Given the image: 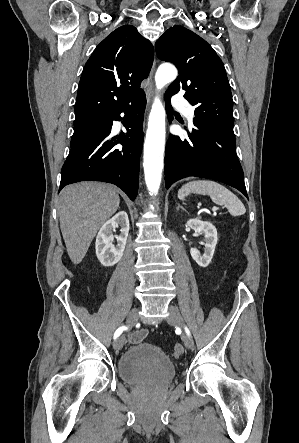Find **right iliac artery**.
Returning a JSON list of instances; mask_svg holds the SVG:
<instances>
[{
    "label": "right iliac artery",
    "instance_id": "82829eb1",
    "mask_svg": "<svg viewBox=\"0 0 299 443\" xmlns=\"http://www.w3.org/2000/svg\"><path fill=\"white\" fill-rule=\"evenodd\" d=\"M128 328L126 327V326H121V327H119L116 331H115V333H114V339H117L120 335H121V333L124 331V330H127Z\"/></svg>",
    "mask_w": 299,
    "mask_h": 443
}]
</instances>
